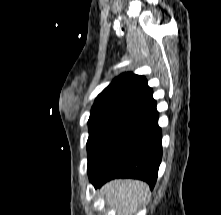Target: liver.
Segmentation results:
<instances>
[{
	"mask_svg": "<svg viewBox=\"0 0 221 215\" xmlns=\"http://www.w3.org/2000/svg\"><path fill=\"white\" fill-rule=\"evenodd\" d=\"M100 192L106 205L114 208L117 215H134L145 202L149 186L138 180L116 179L105 184Z\"/></svg>",
	"mask_w": 221,
	"mask_h": 215,
	"instance_id": "1",
	"label": "liver"
}]
</instances>
